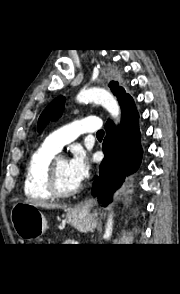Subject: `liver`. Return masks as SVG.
<instances>
[{
    "instance_id": "6515ba94",
    "label": "liver",
    "mask_w": 180,
    "mask_h": 294,
    "mask_svg": "<svg viewBox=\"0 0 180 294\" xmlns=\"http://www.w3.org/2000/svg\"><path fill=\"white\" fill-rule=\"evenodd\" d=\"M27 203H30L32 205H34L35 207H42V208H45V209H59V208H62V209H66L67 208V205H61V204H58V203H49V202H45V201H32V200H27L26 201Z\"/></svg>"
}]
</instances>
